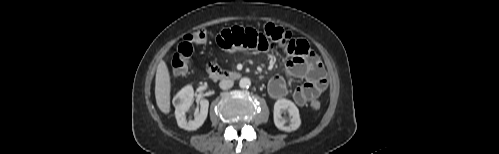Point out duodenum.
Listing matches in <instances>:
<instances>
[{"mask_svg": "<svg viewBox=\"0 0 499 154\" xmlns=\"http://www.w3.org/2000/svg\"><path fill=\"white\" fill-rule=\"evenodd\" d=\"M209 74L211 78L213 79H221V80H226V79H232V80H238L241 78V74L237 71H222V72H216L209 70Z\"/></svg>", "mask_w": 499, "mask_h": 154, "instance_id": "obj_1", "label": "duodenum"}]
</instances>
